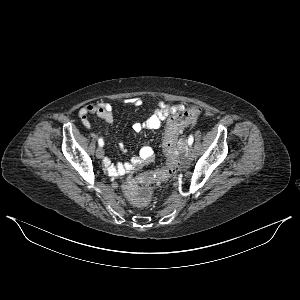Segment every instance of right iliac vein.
Wrapping results in <instances>:
<instances>
[{
  "label": "right iliac vein",
  "instance_id": "63e3f726",
  "mask_svg": "<svg viewBox=\"0 0 300 300\" xmlns=\"http://www.w3.org/2000/svg\"><path fill=\"white\" fill-rule=\"evenodd\" d=\"M104 156V150L102 147L97 148L96 150V157L101 159Z\"/></svg>",
  "mask_w": 300,
  "mask_h": 300
}]
</instances>
